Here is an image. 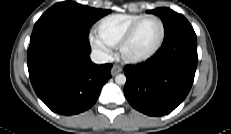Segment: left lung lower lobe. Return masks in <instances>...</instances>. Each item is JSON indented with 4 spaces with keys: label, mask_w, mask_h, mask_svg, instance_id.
Listing matches in <instances>:
<instances>
[{
    "label": "left lung lower lobe",
    "mask_w": 231,
    "mask_h": 134,
    "mask_svg": "<svg viewBox=\"0 0 231 134\" xmlns=\"http://www.w3.org/2000/svg\"><path fill=\"white\" fill-rule=\"evenodd\" d=\"M197 61L196 36L163 44L145 64L125 67L126 99L136 110L150 116L170 113L189 93Z\"/></svg>",
    "instance_id": "1"
}]
</instances>
